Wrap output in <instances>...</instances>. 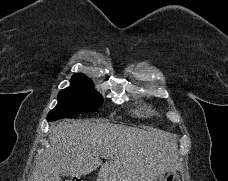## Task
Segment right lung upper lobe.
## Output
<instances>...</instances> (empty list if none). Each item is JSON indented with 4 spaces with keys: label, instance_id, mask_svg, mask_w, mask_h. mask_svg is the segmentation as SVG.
<instances>
[{
    "label": "right lung upper lobe",
    "instance_id": "cb5924a9",
    "mask_svg": "<svg viewBox=\"0 0 228 181\" xmlns=\"http://www.w3.org/2000/svg\"><path fill=\"white\" fill-rule=\"evenodd\" d=\"M93 84L91 79L85 76L84 74H76L72 77L71 86H80Z\"/></svg>",
    "mask_w": 228,
    "mask_h": 181
}]
</instances>
